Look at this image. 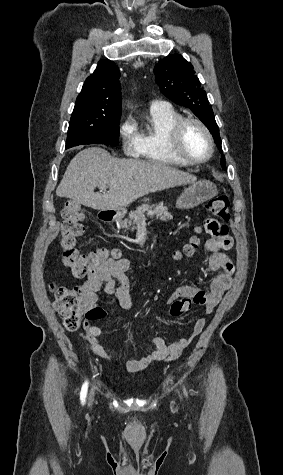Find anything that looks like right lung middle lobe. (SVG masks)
I'll list each match as a JSON object with an SVG mask.
<instances>
[{
  "mask_svg": "<svg viewBox=\"0 0 283 475\" xmlns=\"http://www.w3.org/2000/svg\"><path fill=\"white\" fill-rule=\"evenodd\" d=\"M120 116L119 105L75 103L65 148L81 144L117 146Z\"/></svg>",
  "mask_w": 283,
  "mask_h": 475,
  "instance_id": "1",
  "label": "right lung middle lobe"
}]
</instances>
